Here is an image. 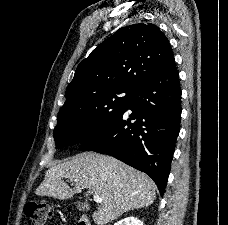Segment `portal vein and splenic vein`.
<instances>
[{
    "label": "portal vein and splenic vein",
    "instance_id": "portal-vein-and-splenic-vein-1",
    "mask_svg": "<svg viewBox=\"0 0 228 225\" xmlns=\"http://www.w3.org/2000/svg\"><path fill=\"white\" fill-rule=\"evenodd\" d=\"M74 181H77V179H74ZM93 201H95V203H101L102 199L101 197H97V195H93Z\"/></svg>",
    "mask_w": 228,
    "mask_h": 225
}]
</instances>
